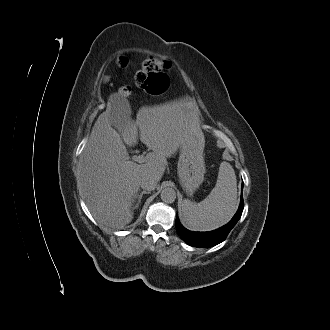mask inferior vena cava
Listing matches in <instances>:
<instances>
[{"instance_id":"inferior-vena-cava-1","label":"inferior vena cava","mask_w":330,"mask_h":330,"mask_svg":"<svg viewBox=\"0 0 330 330\" xmlns=\"http://www.w3.org/2000/svg\"><path fill=\"white\" fill-rule=\"evenodd\" d=\"M140 185L142 189L152 191L157 186V180L153 175H145L142 177Z\"/></svg>"}]
</instances>
